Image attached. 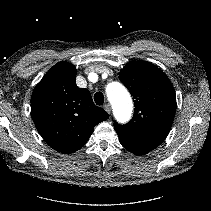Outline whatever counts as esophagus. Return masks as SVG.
I'll list each match as a JSON object with an SVG mask.
<instances>
[{
  "instance_id": "34e87169",
  "label": "esophagus",
  "mask_w": 211,
  "mask_h": 211,
  "mask_svg": "<svg viewBox=\"0 0 211 211\" xmlns=\"http://www.w3.org/2000/svg\"><path fill=\"white\" fill-rule=\"evenodd\" d=\"M104 109H105V111H106L107 113H110V112H111V107H110L109 104H105V105H104Z\"/></svg>"
}]
</instances>
